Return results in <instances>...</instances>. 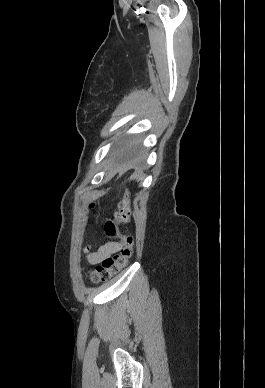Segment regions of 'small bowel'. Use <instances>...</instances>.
<instances>
[{"label":"small bowel","mask_w":265,"mask_h":388,"mask_svg":"<svg viewBox=\"0 0 265 388\" xmlns=\"http://www.w3.org/2000/svg\"><path fill=\"white\" fill-rule=\"evenodd\" d=\"M121 244L118 242H107L99 247L97 251L88 255L87 259L90 264H98L106 257L118 252Z\"/></svg>","instance_id":"1"}]
</instances>
